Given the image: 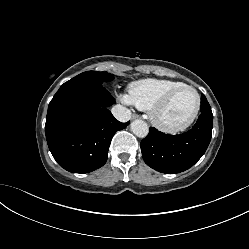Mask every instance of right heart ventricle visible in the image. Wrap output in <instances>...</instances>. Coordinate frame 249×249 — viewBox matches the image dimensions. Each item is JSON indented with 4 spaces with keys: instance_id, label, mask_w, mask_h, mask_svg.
I'll use <instances>...</instances> for the list:
<instances>
[{
    "instance_id": "1",
    "label": "right heart ventricle",
    "mask_w": 249,
    "mask_h": 249,
    "mask_svg": "<svg viewBox=\"0 0 249 249\" xmlns=\"http://www.w3.org/2000/svg\"><path fill=\"white\" fill-rule=\"evenodd\" d=\"M183 84V82L170 79H142L130 85L129 100L137 108L149 110L169 90Z\"/></svg>"
}]
</instances>
